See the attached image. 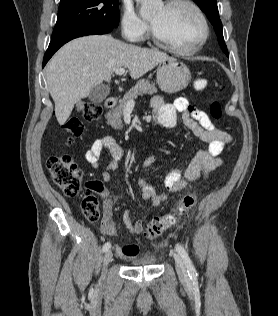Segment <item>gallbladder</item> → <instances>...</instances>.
<instances>
[{
    "mask_svg": "<svg viewBox=\"0 0 278 316\" xmlns=\"http://www.w3.org/2000/svg\"><path fill=\"white\" fill-rule=\"evenodd\" d=\"M110 93L108 86L103 84L95 86L89 93L88 98L94 104H99L105 100Z\"/></svg>",
    "mask_w": 278,
    "mask_h": 316,
    "instance_id": "gallbladder-1",
    "label": "gallbladder"
}]
</instances>
